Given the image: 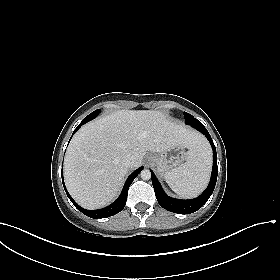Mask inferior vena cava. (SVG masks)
Masks as SVG:
<instances>
[{
  "label": "inferior vena cava",
  "mask_w": 280,
  "mask_h": 280,
  "mask_svg": "<svg viewBox=\"0 0 280 280\" xmlns=\"http://www.w3.org/2000/svg\"><path fill=\"white\" fill-rule=\"evenodd\" d=\"M123 162L126 167H131L135 162V157L131 154H127L123 157Z\"/></svg>",
  "instance_id": "602c4592"
}]
</instances>
